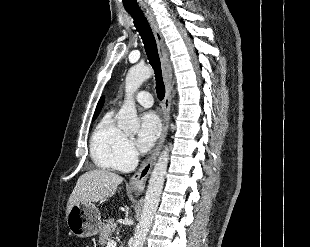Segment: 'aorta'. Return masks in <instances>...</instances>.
I'll list each match as a JSON object with an SVG mask.
<instances>
[{
	"label": "aorta",
	"mask_w": 310,
	"mask_h": 247,
	"mask_svg": "<svg viewBox=\"0 0 310 247\" xmlns=\"http://www.w3.org/2000/svg\"><path fill=\"white\" fill-rule=\"evenodd\" d=\"M152 74L153 71L148 66H134L127 73L125 79V101L117 118L118 127L125 132L136 133L140 128L133 96L142 83L149 79ZM168 162L169 148L166 146L160 153L148 182L144 207L134 234L133 247H143L159 205Z\"/></svg>",
	"instance_id": "aorta-1"
}]
</instances>
